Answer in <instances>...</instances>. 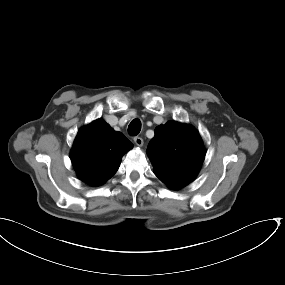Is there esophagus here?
<instances>
[{"instance_id":"obj_1","label":"esophagus","mask_w":285,"mask_h":285,"mask_svg":"<svg viewBox=\"0 0 285 285\" xmlns=\"http://www.w3.org/2000/svg\"><path fill=\"white\" fill-rule=\"evenodd\" d=\"M134 142L137 146H142L144 143L143 139L141 137H138V136L134 137Z\"/></svg>"}]
</instances>
